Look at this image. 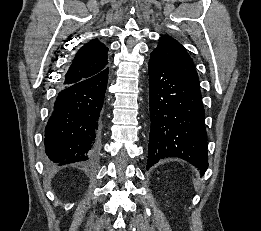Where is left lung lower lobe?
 I'll list each match as a JSON object with an SVG mask.
<instances>
[{
    "label": "left lung lower lobe",
    "mask_w": 261,
    "mask_h": 231,
    "mask_svg": "<svg viewBox=\"0 0 261 231\" xmlns=\"http://www.w3.org/2000/svg\"><path fill=\"white\" fill-rule=\"evenodd\" d=\"M150 133L147 169L166 157L208 167L205 112L200 88L185 81L159 58L149 61Z\"/></svg>",
    "instance_id": "1"
}]
</instances>
